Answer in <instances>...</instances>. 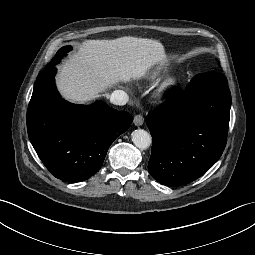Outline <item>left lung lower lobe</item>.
<instances>
[{
    "label": "left lung lower lobe",
    "instance_id": "obj_1",
    "mask_svg": "<svg viewBox=\"0 0 255 255\" xmlns=\"http://www.w3.org/2000/svg\"><path fill=\"white\" fill-rule=\"evenodd\" d=\"M231 93L219 72L196 75L147 116L152 135L148 171L166 186H181L205 174L226 145Z\"/></svg>",
    "mask_w": 255,
    "mask_h": 255
}]
</instances>
